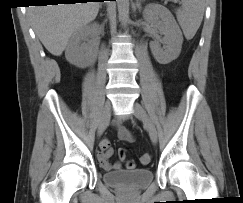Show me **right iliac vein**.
Wrapping results in <instances>:
<instances>
[{
    "label": "right iliac vein",
    "mask_w": 243,
    "mask_h": 203,
    "mask_svg": "<svg viewBox=\"0 0 243 203\" xmlns=\"http://www.w3.org/2000/svg\"><path fill=\"white\" fill-rule=\"evenodd\" d=\"M110 116H111V105L110 102L107 101L105 103L101 118H100V122L98 125V130H97V134L98 136H101V134L103 133V131L105 130L106 126L108 125L109 121H110Z\"/></svg>",
    "instance_id": "1"
}]
</instances>
